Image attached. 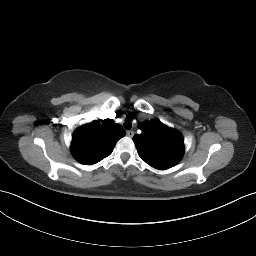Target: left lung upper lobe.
I'll list each match as a JSON object with an SVG mask.
<instances>
[{
	"label": "left lung upper lobe",
	"mask_w": 256,
	"mask_h": 256,
	"mask_svg": "<svg viewBox=\"0 0 256 256\" xmlns=\"http://www.w3.org/2000/svg\"><path fill=\"white\" fill-rule=\"evenodd\" d=\"M141 134L133 137L139 156L150 166L164 170L176 165L184 153L182 135L162 124L150 120L138 125Z\"/></svg>",
	"instance_id": "5c2ea615"
}]
</instances>
